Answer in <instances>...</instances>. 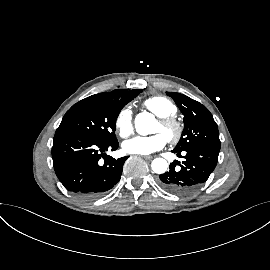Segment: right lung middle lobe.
I'll use <instances>...</instances> for the list:
<instances>
[{
	"mask_svg": "<svg viewBox=\"0 0 270 270\" xmlns=\"http://www.w3.org/2000/svg\"><path fill=\"white\" fill-rule=\"evenodd\" d=\"M142 92L129 100L92 95L74 104L64 115L57 134H79L102 143L116 141V120L121 109Z\"/></svg>",
	"mask_w": 270,
	"mask_h": 270,
	"instance_id": "dd1d6c3e",
	"label": "right lung middle lobe"
}]
</instances>
